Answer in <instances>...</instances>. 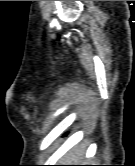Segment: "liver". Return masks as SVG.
I'll use <instances>...</instances> for the list:
<instances>
[{"label":"liver","instance_id":"6515ba94","mask_svg":"<svg viewBox=\"0 0 135 166\" xmlns=\"http://www.w3.org/2000/svg\"><path fill=\"white\" fill-rule=\"evenodd\" d=\"M84 153L85 146L84 144H80L66 153L61 159L62 163H70L71 165H78V163H84Z\"/></svg>","mask_w":135,"mask_h":166}]
</instances>
